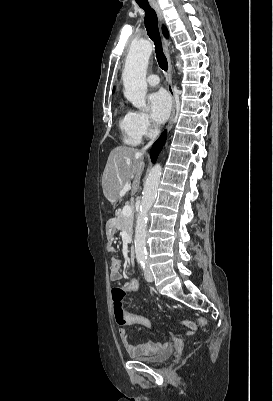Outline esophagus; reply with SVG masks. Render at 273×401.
Listing matches in <instances>:
<instances>
[{"mask_svg":"<svg viewBox=\"0 0 273 401\" xmlns=\"http://www.w3.org/2000/svg\"><path fill=\"white\" fill-rule=\"evenodd\" d=\"M151 5H152L153 9L155 10L159 21L161 23H163V12H162L160 6L158 5V3H154ZM162 44H163V50H164V53H165V56H166L167 62H168V71H167V76H166L167 89H168V92H169V95H170L171 101H172L171 115H170L169 123L167 126V129L169 131L173 127L175 110H176V101H175V92L173 90V85H172V65H171V59H170L169 50H168V42L164 37L162 38Z\"/></svg>","mask_w":273,"mask_h":401,"instance_id":"34e87169","label":"esophagus"}]
</instances>
